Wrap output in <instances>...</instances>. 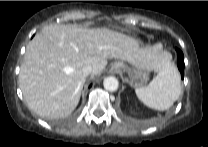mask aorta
<instances>
[{"instance_id":"762f6f07","label":"aorta","mask_w":208,"mask_h":147,"mask_svg":"<svg viewBox=\"0 0 208 147\" xmlns=\"http://www.w3.org/2000/svg\"><path fill=\"white\" fill-rule=\"evenodd\" d=\"M104 88L108 91H116L119 86V82L115 77H106L103 81Z\"/></svg>"}]
</instances>
